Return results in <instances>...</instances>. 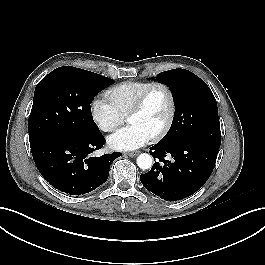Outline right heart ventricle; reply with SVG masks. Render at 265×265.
Instances as JSON below:
<instances>
[{
  "label": "right heart ventricle",
  "mask_w": 265,
  "mask_h": 265,
  "mask_svg": "<svg viewBox=\"0 0 265 265\" xmlns=\"http://www.w3.org/2000/svg\"><path fill=\"white\" fill-rule=\"evenodd\" d=\"M151 83L150 81H125L109 88L105 96L121 115L127 116L139 95Z\"/></svg>",
  "instance_id": "e07e8e85"
}]
</instances>
